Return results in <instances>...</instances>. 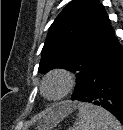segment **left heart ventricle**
<instances>
[{
	"label": "left heart ventricle",
	"instance_id": "left-heart-ventricle-1",
	"mask_svg": "<svg viewBox=\"0 0 123 130\" xmlns=\"http://www.w3.org/2000/svg\"><path fill=\"white\" fill-rule=\"evenodd\" d=\"M62 86H63L62 80L59 78H54L47 83L46 92L49 95H55L62 89Z\"/></svg>",
	"mask_w": 123,
	"mask_h": 130
}]
</instances>
